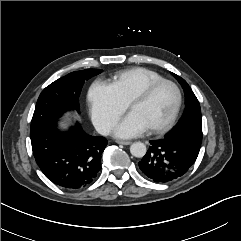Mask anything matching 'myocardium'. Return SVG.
<instances>
[{
    "label": "myocardium",
    "mask_w": 241,
    "mask_h": 241,
    "mask_svg": "<svg viewBox=\"0 0 241 241\" xmlns=\"http://www.w3.org/2000/svg\"><path fill=\"white\" fill-rule=\"evenodd\" d=\"M163 85H170L175 89V92L177 95V101H176L175 109L170 119L161 126L150 128L152 132L158 133V134L169 131L175 125L178 119V116L180 114L181 107H182V102H183V96H182L180 87L175 82L167 79L155 81L148 84L145 88H143L140 92H138L135 96H133L129 102V109H132L133 105H135L138 102L146 101L154 93L156 89H158Z\"/></svg>",
    "instance_id": "f54148a6"
}]
</instances>
